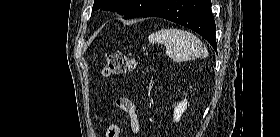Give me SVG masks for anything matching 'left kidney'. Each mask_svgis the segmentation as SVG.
<instances>
[{
    "label": "left kidney",
    "mask_w": 280,
    "mask_h": 137,
    "mask_svg": "<svg viewBox=\"0 0 280 137\" xmlns=\"http://www.w3.org/2000/svg\"><path fill=\"white\" fill-rule=\"evenodd\" d=\"M187 104H188L187 99H184L175 106L174 114H173V119H174L175 122H179L182 114L187 109Z\"/></svg>",
    "instance_id": "left-kidney-1"
}]
</instances>
